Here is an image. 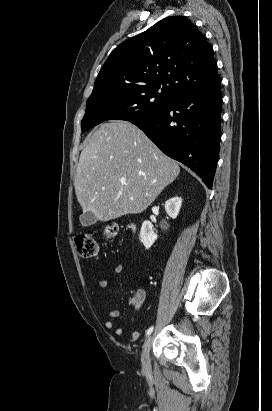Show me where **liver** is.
<instances>
[{
    "mask_svg": "<svg viewBox=\"0 0 272 411\" xmlns=\"http://www.w3.org/2000/svg\"><path fill=\"white\" fill-rule=\"evenodd\" d=\"M179 173L178 163L138 127L112 121L89 137L74 187L83 213L91 212L96 220L106 222L143 212Z\"/></svg>",
    "mask_w": 272,
    "mask_h": 411,
    "instance_id": "6515ba94",
    "label": "liver"
}]
</instances>
